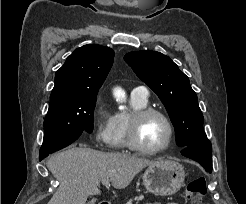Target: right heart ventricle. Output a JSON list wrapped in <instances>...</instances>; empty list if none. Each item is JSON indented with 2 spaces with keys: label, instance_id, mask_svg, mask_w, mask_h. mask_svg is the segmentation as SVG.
Instances as JSON below:
<instances>
[{
  "label": "right heart ventricle",
  "instance_id": "right-heart-ventricle-1",
  "mask_svg": "<svg viewBox=\"0 0 246 204\" xmlns=\"http://www.w3.org/2000/svg\"><path fill=\"white\" fill-rule=\"evenodd\" d=\"M148 106V99H143L136 96H131L130 112H117L113 115V122L108 145L114 149H121L128 147L127 131L129 125L130 115L137 110L146 108Z\"/></svg>",
  "mask_w": 246,
  "mask_h": 204
}]
</instances>
